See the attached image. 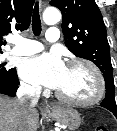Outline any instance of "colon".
Wrapping results in <instances>:
<instances>
[{"label":"colon","mask_w":117,"mask_h":131,"mask_svg":"<svg viewBox=\"0 0 117 131\" xmlns=\"http://www.w3.org/2000/svg\"><path fill=\"white\" fill-rule=\"evenodd\" d=\"M94 131H108L105 126H97Z\"/></svg>","instance_id":"obj_1"}]
</instances>
